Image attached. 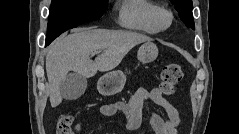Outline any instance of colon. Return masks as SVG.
Here are the masks:
<instances>
[{
  "label": "colon",
  "mask_w": 239,
  "mask_h": 134,
  "mask_svg": "<svg viewBox=\"0 0 239 134\" xmlns=\"http://www.w3.org/2000/svg\"><path fill=\"white\" fill-rule=\"evenodd\" d=\"M182 67L178 63L165 65L161 72V90L166 95H171L182 78ZM73 118L68 114L59 117L57 124V134H70Z\"/></svg>",
  "instance_id": "1"
}]
</instances>
